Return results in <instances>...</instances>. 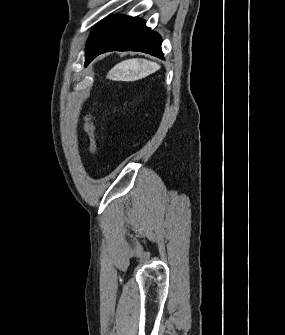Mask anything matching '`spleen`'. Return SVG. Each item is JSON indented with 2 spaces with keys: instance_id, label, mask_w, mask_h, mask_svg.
Here are the masks:
<instances>
[{
  "instance_id": "obj_1",
  "label": "spleen",
  "mask_w": 285,
  "mask_h": 335,
  "mask_svg": "<svg viewBox=\"0 0 285 335\" xmlns=\"http://www.w3.org/2000/svg\"><path fill=\"white\" fill-rule=\"evenodd\" d=\"M126 66H128L129 70H133V72H146L149 62H146V60H143V62H140V60H130ZM150 66L153 68V72H156L160 68L155 62H151Z\"/></svg>"
}]
</instances>
